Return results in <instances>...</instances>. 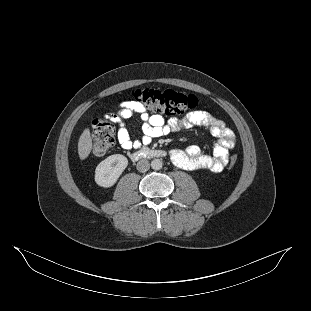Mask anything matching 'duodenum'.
<instances>
[{
	"label": "duodenum",
	"instance_id": "obj_1",
	"mask_svg": "<svg viewBox=\"0 0 311 311\" xmlns=\"http://www.w3.org/2000/svg\"><path fill=\"white\" fill-rule=\"evenodd\" d=\"M166 156V152L160 149L142 148L130 154L133 161L150 158H162Z\"/></svg>",
	"mask_w": 311,
	"mask_h": 311
}]
</instances>
